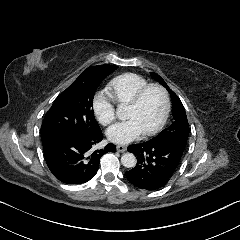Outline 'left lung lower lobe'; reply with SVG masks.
Here are the masks:
<instances>
[{"label": "left lung lower lobe", "instance_id": "obj_1", "mask_svg": "<svg viewBox=\"0 0 240 240\" xmlns=\"http://www.w3.org/2000/svg\"><path fill=\"white\" fill-rule=\"evenodd\" d=\"M185 146L177 142H144L127 150L137 157V165L125 172L127 180L139 189L157 190L175 173Z\"/></svg>", "mask_w": 240, "mask_h": 240}]
</instances>
